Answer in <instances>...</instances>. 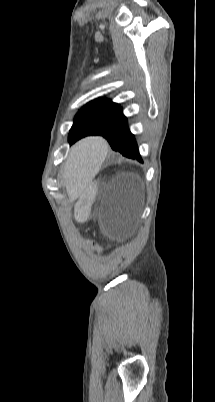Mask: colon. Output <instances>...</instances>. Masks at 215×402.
Listing matches in <instances>:
<instances>
[{
    "mask_svg": "<svg viewBox=\"0 0 215 402\" xmlns=\"http://www.w3.org/2000/svg\"><path fill=\"white\" fill-rule=\"evenodd\" d=\"M77 240H79V239H77ZM84 243H86V242H84ZM86 248H87V249H92V248H93V245H92V244H87V245H86ZM90 257H91V259L96 260V259H98V258H101V253H98V252H96V251H93V252H91Z\"/></svg>",
    "mask_w": 215,
    "mask_h": 402,
    "instance_id": "1",
    "label": "colon"
}]
</instances>
